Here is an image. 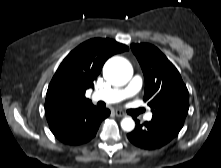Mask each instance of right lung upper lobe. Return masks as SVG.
<instances>
[{
	"label": "right lung upper lobe",
	"mask_w": 221,
	"mask_h": 168,
	"mask_svg": "<svg viewBox=\"0 0 221 168\" xmlns=\"http://www.w3.org/2000/svg\"><path fill=\"white\" fill-rule=\"evenodd\" d=\"M128 50L114 40L94 38L71 51L58 67L46 94V116L60 114L93 105L85 97L112 55Z\"/></svg>",
	"instance_id": "obj_1"
}]
</instances>
